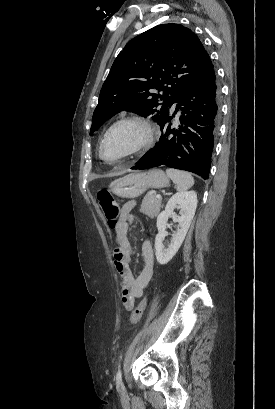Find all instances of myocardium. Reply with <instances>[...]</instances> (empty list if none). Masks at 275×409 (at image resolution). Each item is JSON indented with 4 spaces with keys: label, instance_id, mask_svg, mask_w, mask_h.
<instances>
[{
    "label": "myocardium",
    "instance_id": "myocardium-1",
    "mask_svg": "<svg viewBox=\"0 0 275 409\" xmlns=\"http://www.w3.org/2000/svg\"><path fill=\"white\" fill-rule=\"evenodd\" d=\"M123 125H131V126L136 127L139 130L140 136L137 142L129 150H127L125 153H123L122 155L118 157L133 156L137 154L138 152H140L141 150H143L144 148H146L151 143L153 139V129L147 120L141 117H136V116L124 117L114 122L104 133L99 143L98 150H99L100 157H105L103 154V146L108 136L116 128L123 126Z\"/></svg>",
    "mask_w": 275,
    "mask_h": 409
}]
</instances>
